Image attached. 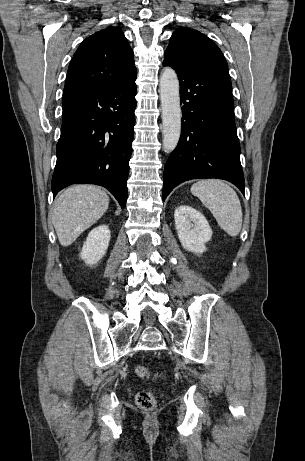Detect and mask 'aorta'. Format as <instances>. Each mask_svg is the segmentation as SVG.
I'll list each match as a JSON object with an SVG mask.
<instances>
[{
	"mask_svg": "<svg viewBox=\"0 0 305 461\" xmlns=\"http://www.w3.org/2000/svg\"><path fill=\"white\" fill-rule=\"evenodd\" d=\"M160 99L162 107L163 146L166 152H172L181 133V107L179 81L175 71L164 68L160 76Z\"/></svg>",
	"mask_w": 305,
	"mask_h": 461,
	"instance_id": "1",
	"label": "aorta"
}]
</instances>
